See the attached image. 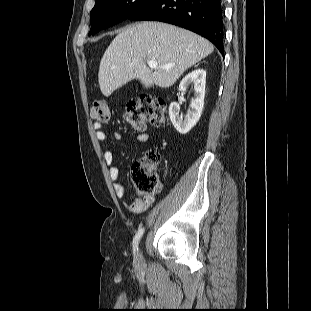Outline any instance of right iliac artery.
Segmentation results:
<instances>
[{"mask_svg":"<svg viewBox=\"0 0 311 311\" xmlns=\"http://www.w3.org/2000/svg\"><path fill=\"white\" fill-rule=\"evenodd\" d=\"M144 233V228H140L138 230V232L136 233L134 239H133V250H134V254L138 251V244H139V241L142 237Z\"/></svg>","mask_w":311,"mask_h":311,"instance_id":"obj_1","label":"right iliac artery"}]
</instances>
